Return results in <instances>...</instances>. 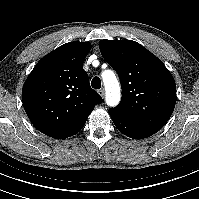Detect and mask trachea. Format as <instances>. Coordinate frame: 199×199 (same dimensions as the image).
<instances>
[{"label":"trachea","instance_id":"trachea-1","mask_svg":"<svg viewBox=\"0 0 199 199\" xmlns=\"http://www.w3.org/2000/svg\"><path fill=\"white\" fill-rule=\"evenodd\" d=\"M91 86L94 88V89H100L101 88V80L99 77H94L91 81Z\"/></svg>","mask_w":199,"mask_h":199}]
</instances>
